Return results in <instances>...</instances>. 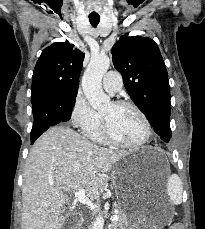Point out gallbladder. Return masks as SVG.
Wrapping results in <instances>:
<instances>
[{
    "label": "gallbladder",
    "instance_id": "bac80fb5",
    "mask_svg": "<svg viewBox=\"0 0 205 229\" xmlns=\"http://www.w3.org/2000/svg\"><path fill=\"white\" fill-rule=\"evenodd\" d=\"M64 217H66V221L64 223V229H68L67 227L70 226V224L73 222L72 216H69L68 213H63L62 214Z\"/></svg>",
    "mask_w": 205,
    "mask_h": 229
}]
</instances>
